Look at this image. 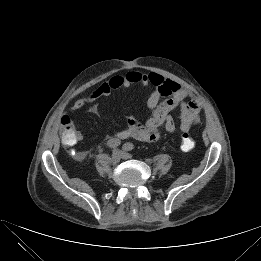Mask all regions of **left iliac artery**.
Instances as JSON below:
<instances>
[{
    "label": "left iliac artery",
    "instance_id": "left-iliac-artery-1",
    "mask_svg": "<svg viewBox=\"0 0 261 261\" xmlns=\"http://www.w3.org/2000/svg\"><path fill=\"white\" fill-rule=\"evenodd\" d=\"M134 149V145L132 143H125L123 145V150L125 151H131Z\"/></svg>",
    "mask_w": 261,
    "mask_h": 261
}]
</instances>
